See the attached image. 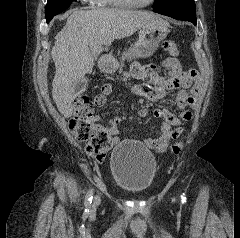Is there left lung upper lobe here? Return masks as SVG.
<instances>
[{
	"label": "left lung upper lobe",
	"instance_id": "obj_1",
	"mask_svg": "<svg viewBox=\"0 0 240 238\" xmlns=\"http://www.w3.org/2000/svg\"><path fill=\"white\" fill-rule=\"evenodd\" d=\"M153 9H177L188 12H196L194 0H155Z\"/></svg>",
	"mask_w": 240,
	"mask_h": 238
}]
</instances>
